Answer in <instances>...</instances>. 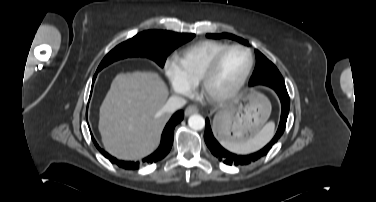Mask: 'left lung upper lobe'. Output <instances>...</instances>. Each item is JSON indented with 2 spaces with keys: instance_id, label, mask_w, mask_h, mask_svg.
Here are the masks:
<instances>
[{
  "instance_id": "1",
  "label": "left lung upper lobe",
  "mask_w": 376,
  "mask_h": 202,
  "mask_svg": "<svg viewBox=\"0 0 376 202\" xmlns=\"http://www.w3.org/2000/svg\"><path fill=\"white\" fill-rule=\"evenodd\" d=\"M208 38H214V39H220V38H230L236 41H239L240 43H243L244 45L247 44L245 40L242 38H239L235 35L228 34V33H222V34H207ZM256 54V67L253 72L252 77L250 78L249 85L254 86L257 84H263L267 85L271 88L274 87H280L284 88L285 83L282 75L276 68V66L269 61L261 52L258 50H255Z\"/></svg>"
}]
</instances>
